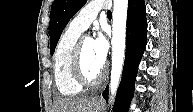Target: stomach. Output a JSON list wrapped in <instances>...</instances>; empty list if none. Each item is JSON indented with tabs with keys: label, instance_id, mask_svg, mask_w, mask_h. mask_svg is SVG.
Listing matches in <instances>:
<instances>
[{
	"label": "stomach",
	"instance_id": "obj_1",
	"mask_svg": "<svg viewBox=\"0 0 193 112\" xmlns=\"http://www.w3.org/2000/svg\"><path fill=\"white\" fill-rule=\"evenodd\" d=\"M101 110V105L97 101H93L92 103V112H100Z\"/></svg>",
	"mask_w": 193,
	"mask_h": 112
}]
</instances>
